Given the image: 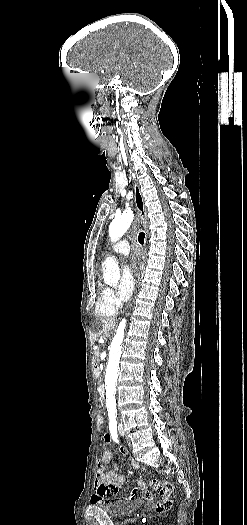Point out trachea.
<instances>
[{
	"instance_id": "obj_1",
	"label": "trachea",
	"mask_w": 247,
	"mask_h": 525,
	"mask_svg": "<svg viewBox=\"0 0 247 525\" xmlns=\"http://www.w3.org/2000/svg\"><path fill=\"white\" fill-rule=\"evenodd\" d=\"M144 240H145V233L144 232H140L139 235H138V242L143 245L144 244Z\"/></svg>"
}]
</instances>
